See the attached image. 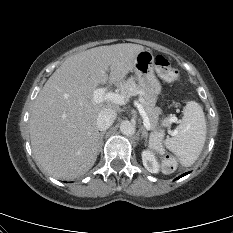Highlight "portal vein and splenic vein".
Here are the masks:
<instances>
[{"label":"portal vein and splenic vein","instance_id":"18ae733b","mask_svg":"<svg viewBox=\"0 0 233 233\" xmlns=\"http://www.w3.org/2000/svg\"><path fill=\"white\" fill-rule=\"evenodd\" d=\"M111 101L115 104L123 105L125 104V97L123 95L108 92L107 88H98L94 90L93 92V102L100 103L103 101ZM136 107L138 108V111L140 115L143 118V124L147 130H151V124L149 121V118L147 114L145 113V110L143 109V106L139 104L138 102H135ZM169 122H175V119L171 118L168 120Z\"/></svg>","mask_w":233,"mask_h":233}]
</instances>
